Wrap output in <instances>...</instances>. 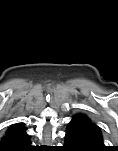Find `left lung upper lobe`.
I'll list each match as a JSON object with an SVG mask.
<instances>
[{
  "label": "left lung upper lobe",
  "mask_w": 118,
  "mask_h": 151,
  "mask_svg": "<svg viewBox=\"0 0 118 151\" xmlns=\"http://www.w3.org/2000/svg\"><path fill=\"white\" fill-rule=\"evenodd\" d=\"M67 128L79 132L97 150H105L100 128L88 116L84 114L75 115L68 123Z\"/></svg>",
  "instance_id": "5c2ea615"
}]
</instances>
